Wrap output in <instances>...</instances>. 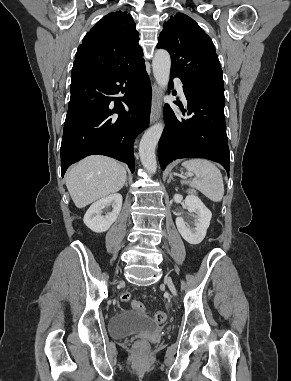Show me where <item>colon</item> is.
Returning a JSON list of instances; mask_svg holds the SVG:
<instances>
[{
	"mask_svg": "<svg viewBox=\"0 0 291 381\" xmlns=\"http://www.w3.org/2000/svg\"><path fill=\"white\" fill-rule=\"evenodd\" d=\"M130 299H131V295L127 292H125L121 295V301L122 302H128V301H130ZM131 305H132L133 309H135L136 311H138L140 313L146 312L145 305L138 300H133L131 302ZM153 319L156 323L163 324L167 319V315L164 311H157L154 313ZM135 347H136L137 352L142 353L146 350L147 344L143 343V342H138V343H136Z\"/></svg>",
	"mask_w": 291,
	"mask_h": 381,
	"instance_id": "1",
	"label": "colon"
}]
</instances>
